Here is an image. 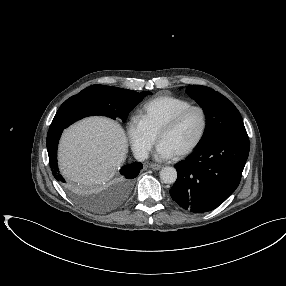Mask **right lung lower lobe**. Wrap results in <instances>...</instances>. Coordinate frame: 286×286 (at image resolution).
I'll use <instances>...</instances> for the list:
<instances>
[{
    "mask_svg": "<svg viewBox=\"0 0 286 286\" xmlns=\"http://www.w3.org/2000/svg\"><path fill=\"white\" fill-rule=\"evenodd\" d=\"M63 129V126H58L56 123L52 122L47 134L46 145L49 156V164L52 169L53 176L59 182L65 183L66 181L60 174L57 165V146ZM142 167L143 165L140 162H134L121 168L120 174L122 177L120 183L122 184L124 190L128 189L132 179L138 176Z\"/></svg>",
    "mask_w": 286,
    "mask_h": 286,
    "instance_id": "right-lung-lower-lobe-1",
    "label": "right lung lower lobe"
}]
</instances>
